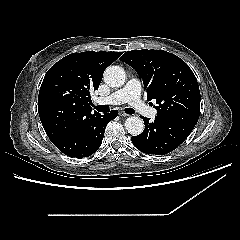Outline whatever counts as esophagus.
<instances>
[{
	"label": "esophagus",
	"instance_id": "esophagus-1",
	"mask_svg": "<svg viewBox=\"0 0 240 240\" xmlns=\"http://www.w3.org/2000/svg\"><path fill=\"white\" fill-rule=\"evenodd\" d=\"M119 115H120L121 117H127V116H129V115L126 114L124 111H119Z\"/></svg>",
	"mask_w": 240,
	"mask_h": 240
}]
</instances>
